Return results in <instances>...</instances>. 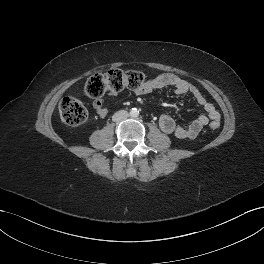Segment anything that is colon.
<instances>
[{
	"mask_svg": "<svg viewBox=\"0 0 264 264\" xmlns=\"http://www.w3.org/2000/svg\"><path fill=\"white\" fill-rule=\"evenodd\" d=\"M144 75L138 71L112 69L104 74L90 76L84 85V94L90 98H99L105 93L115 94L126 88L137 90L144 84ZM59 114L62 121L69 126L82 124L87 118L83 103L73 97H65L59 103ZM219 121H211L209 127L218 129Z\"/></svg>",
	"mask_w": 264,
	"mask_h": 264,
	"instance_id": "1",
	"label": "colon"
}]
</instances>
